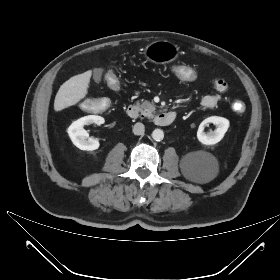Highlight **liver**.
I'll use <instances>...</instances> for the list:
<instances>
[{
    "label": "liver",
    "instance_id": "1",
    "mask_svg": "<svg viewBox=\"0 0 280 280\" xmlns=\"http://www.w3.org/2000/svg\"><path fill=\"white\" fill-rule=\"evenodd\" d=\"M92 71L71 77L63 83L54 100V110L61 111L81 101L88 93Z\"/></svg>",
    "mask_w": 280,
    "mask_h": 280
}]
</instances>
